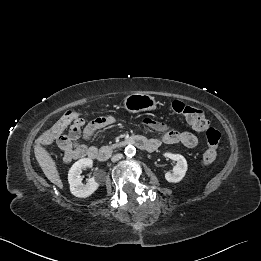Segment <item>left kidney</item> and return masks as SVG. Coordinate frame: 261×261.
I'll return each mask as SVG.
<instances>
[{"label": "left kidney", "mask_w": 261, "mask_h": 261, "mask_svg": "<svg viewBox=\"0 0 261 261\" xmlns=\"http://www.w3.org/2000/svg\"><path fill=\"white\" fill-rule=\"evenodd\" d=\"M164 156L177 162L175 167L173 168V173L170 172L165 173V179L168 182H172V183L180 182L185 176L187 171L186 159L180 154L165 153Z\"/></svg>", "instance_id": "5707ae66"}]
</instances>
